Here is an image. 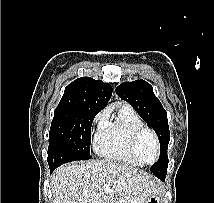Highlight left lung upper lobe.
Listing matches in <instances>:
<instances>
[{
	"mask_svg": "<svg viewBox=\"0 0 214 203\" xmlns=\"http://www.w3.org/2000/svg\"><path fill=\"white\" fill-rule=\"evenodd\" d=\"M117 95L128 102L140 117L156 132L160 142V157L150 168L160 180L166 176L168 167L167 148L170 132L167 112L155 96L152 86L144 80L124 82L116 88Z\"/></svg>",
	"mask_w": 214,
	"mask_h": 203,
	"instance_id": "1",
	"label": "left lung upper lobe"
}]
</instances>
